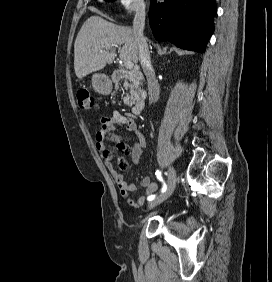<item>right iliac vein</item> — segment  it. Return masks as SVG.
Listing matches in <instances>:
<instances>
[{"instance_id": "1", "label": "right iliac vein", "mask_w": 272, "mask_h": 282, "mask_svg": "<svg viewBox=\"0 0 272 282\" xmlns=\"http://www.w3.org/2000/svg\"><path fill=\"white\" fill-rule=\"evenodd\" d=\"M176 180H177L176 171L173 167H171L169 177H168V181H167V185H166V190L162 194H160L158 197H156L155 199H153L152 201L149 202L148 209H152V208L156 207L157 205L161 204L168 197L171 196V194L173 193V191L175 189Z\"/></svg>"}]
</instances>
